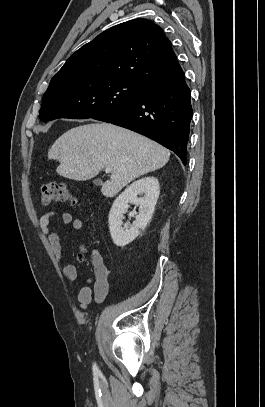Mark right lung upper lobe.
Listing matches in <instances>:
<instances>
[{
  "label": "right lung upper lobe",
  "instance_id": "cb5924a9",
  "mask_svg": "<svg viewBox=\"0 0 265 407\" xmlns=\"http://www.w3.org/2000/svg\"><path fill=\"white\" fill-rule=\"evenodd\" d=\"M178 63L160 26L146 19L116 25L77 50L55 81L99 76L148 86L173 72Z\"/></svg>",
  "mask_w": 265,
  "mask_h": 407
}]
</instances>
